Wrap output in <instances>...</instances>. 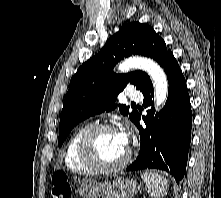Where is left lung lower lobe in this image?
<instances>
[{
	"label": "left lung lower lobe",
	"instance_id": "obj_1",
	"mask_svg": "<svg viewBox=\"0 0 221 198\" xmlns=\"http://www.w3.org/2000/svg\"><path fill=\"white\" fill-rule=\"evenodd\" d=\"M169 83L168 99L164 108L155 116L154 109L142 117L145 129L140 126L138 114L134 124L140 133V152L126 171L160 169L170 173L177 183L184 177L191 140L192 112L186 81L181 69L170 53L163 65ZM143 106L153 105V85L142 91Z\"/></svg>",
	"mask_w": 221,
	"mask_h": 198
}]
</instances>
